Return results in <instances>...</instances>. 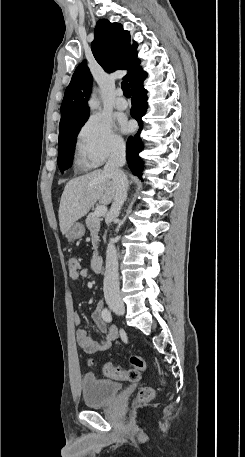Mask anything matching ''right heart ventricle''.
<instances>
[{"label": "right heart ventricle", "instance_id": "e07e8e85", "mask_svg": "<svg viewBox=\"0 0 245 457\" xmlns=\"http://www.w3.org/2000/svg\"><path fill=\"white\" fill-rule=\"evenodd\" d=\"M78 151H79V155L87 161V156L86 154L83 152V150L81 148H78Z\"/></svg>", "mask_w": 245, "mask_h": 457}]
</instances>
